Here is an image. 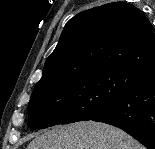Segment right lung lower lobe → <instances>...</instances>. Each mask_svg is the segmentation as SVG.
<instances>
[{"mask_svg":"<svg viewBox=\"0 0 155 149\" xmlns=\"http://www.w3.org/2000/svg\"><path fill=\"white\" fill-rule=\"evenodd\" d=\"M91 120L119 127L155 149V74L145 76Z\"/></svg>","mask_w":155,"mask_h":149,"instance_id":"1","label":"right lung lower lobe"}]
</instances>
